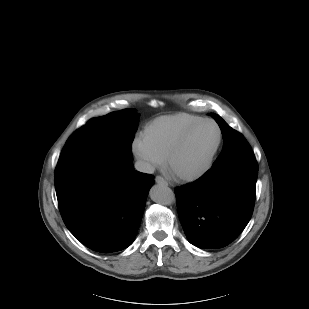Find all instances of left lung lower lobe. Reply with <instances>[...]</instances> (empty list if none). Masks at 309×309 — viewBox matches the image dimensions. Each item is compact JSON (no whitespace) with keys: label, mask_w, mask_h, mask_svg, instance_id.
Wrapping results in <instances>:
<instances>
[{"label":"left lung lower lobe","mask_w":309,"mask_h":309,"mask_svg":"<svg viewBox=\"0 0 309 309\" xmlns=\"http://www.w3.org/2000/svg\"><path fill=\"white\" fill-rule=\"evenodd\" d=\"M257 173L254 153L249 151L175 189L179 219L191 244L217 249L238 237L253 213Z\"/></svg>","instance_id":"0a47b994"}]
</instances>
